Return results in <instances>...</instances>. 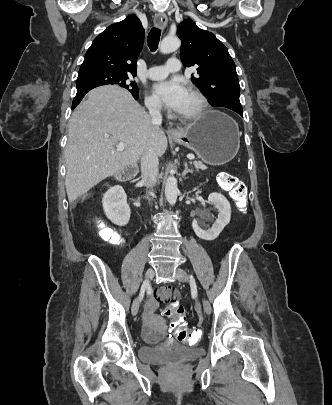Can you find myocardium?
I'll use <instances>...</instances> for the list:
<instances>
[{
    "label": "myocardium",
    "instance_id": "myocardium-1",
    "mask_svg": "<svg viewBox=\"0 0 332 405\" xmlns=\"http://www.w3.org/2000/svg\"><path fill=\"white\" fill-rule=\"evenodd\" d=\"M187 91L190 92L195 99L197 100V108L196 110L189 115H178L179 119L183 120V121H195L198 120L199 118L202 117V115L204 114V112L206 111L207 108V99L205 97V95L196 87L194 86H189L187 88Z\"/></svg>",
    "mask_w": 332,
    "mask_h": 405
}]
</instances>
